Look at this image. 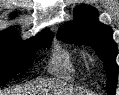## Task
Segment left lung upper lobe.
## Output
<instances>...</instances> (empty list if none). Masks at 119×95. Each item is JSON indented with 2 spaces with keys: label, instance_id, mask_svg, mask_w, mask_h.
Here are the masks:
<instances>
[{
  "label": "left lung upper lobe",
  "instance_id": "obj_1",
  "mask_svg": "<svg viewBox=\"0 0 119 95\" xmlns=\"http://www.w3.org/2000/svg\"><path fill=\"white\" fill-rule=\"evenodd\" d=\"M74 21L67 22L58 31L57 38L67 43L91 46L103 61L107 75L108 95H115L118 66L116 64L117 44L113 41V31L109 26L98 22L95 8L81 5L74 11Z\"/></svg>",
  "mask_w": 119,
  "mask_h": 95
}]
</instances>
